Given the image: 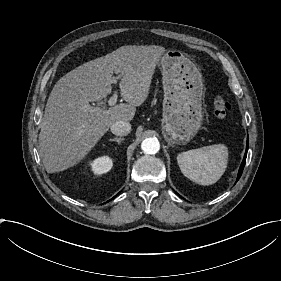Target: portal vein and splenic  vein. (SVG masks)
<instances>
[{"mask_svg": "<svg viewBox=\"0 0 281 281\" xmlns=\"http://www.w3.org/2000/svg\"><path fill=\"white\" fill-rule=\"evenodd\" d=\"M116 82H117L116 78H113V83H116ZM117 99H118V94H117V92H115L113 94V96L109 98L108 105L109 106H114L116 104V102H117ZM83 108L85 110H87L88 112H90V113L95 112L96 110L99 109V107H94V106H91L90 104L84 105Z\"/></svg>", "mask_w": 281, "mask_h": 281, "instance_id": "1", "label": "portal vein and splenic vein"}]
</instances>
